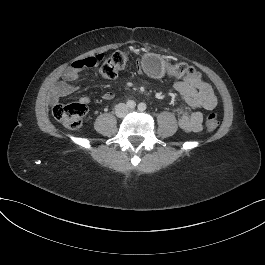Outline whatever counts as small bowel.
Here are the masks:
<instances>
[{"mask_svg":"<svg viewBox=\"0 0 265 265\" xmlns=\"http://www.w3.org/2000/svg\"><path fill=\"white\" fill-rule=\"evenodd\" d=\"M139 73L142 70L139 68ZM76 78V74L68 71L65 74L64 82H60L52 90L50 101L55 103L60 97L76 92L79 86L69 84ZM174 89L179 94L182 100V105L179 107V126L186 132H198L202 129L204 111L214 109L217 104V98L213 89L209 84L200 79L184 77L175 82ZM105 101H111L114 98V93L107 91L103 94ZM80 102L88 104L90 97L82 96Z\"/></svg>","mask_w":265,"mask_h":265,"instance_id":"obj_1","label":"small bowel"}]
</instances>
